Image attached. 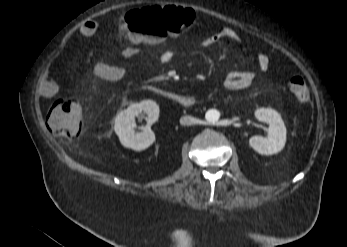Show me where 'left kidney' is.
Returning <instances> with one entry per match:
<instances>
[{
	"label": "left kidney",
	"mask_w": 347,
	"mask_h": 247,
	"mask_svg": "<svg viewBox=\"0 0 347 247\" xmlns=\"http://www.w3.org/2000/svg\"><path fill=\"white\" fill-rule=\"evenodd\" d=\"M255 117L269 125L268 137L253 136L249 139V145L264 155H272L281 151L286 143L287 130L280 114L273 109L260 108L255 111Z\"/></svg>",
	"instance_id": "left-kidney-1"
}]
</instances>
